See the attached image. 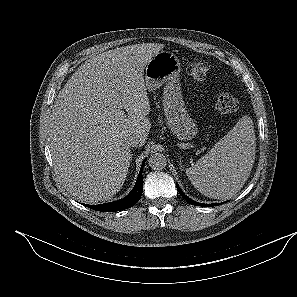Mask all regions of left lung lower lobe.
<instances>
[{"label": "left lung lower lobe", "instance_id": "0a47b994", "mask_svg": "<svg viewBox=\"0 0 297 297\" xmlns=\"http://www.w3.org/2000/svg\"><path fill=\"white\" fill-rule=\"evenodd\" d=\"M177 190L180 192L181 196L190 204L192 205H196V206H216L219 204H203V203H198L195 201H192L191 199H189L187 196H185V194L182 192V190L179 188V186L176 184ZM222 204V203H221Z\"/></svg>", "mask_w": 297, "mask_h": 297}]
</instances>
